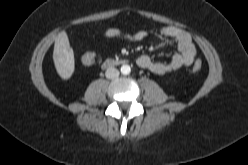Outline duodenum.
I'll use <instances>...</instances> for the list:
<instances>
[{
  "label": "duodenum",
  "instance_id": "1",
  "mask_svg": "<svg viewBox=\"0 0 248 165\" xmlns=\"http://www.w3.org/2000/svg\"><path fill=\"white\" fill-rule=\"evenodd\" d=\"M121 63H123V61H121V60L107 59L103 62V67L104 68H111V67H114V66L121 64Z\"/></svg>",
  "mask_w": 248,
  "mask_h": 165
}]
</instances>
